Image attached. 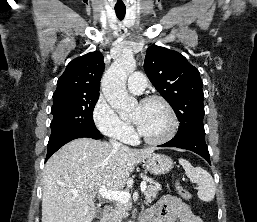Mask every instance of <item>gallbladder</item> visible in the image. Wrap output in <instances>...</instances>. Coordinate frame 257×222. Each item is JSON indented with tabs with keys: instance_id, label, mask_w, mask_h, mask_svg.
I'll use <instances>...</instances> for the list:
<instances>
[{
	"instance_id": "1",
	"label": "gallbladder",
	"mask_w": 257,
	"mask_h": 222,
	"mask_svg": "<svg viewBox=\"0 0 257 222\" xmlns=\"http://www.w3.org/2000/svg\"><path fill=\"white\" fill-rule=\"evenodd\" d=\"M96 217H97V218L102 217V211H101L100 208H98V209L96 210Z\"/></svg>"
}]
</instances>
